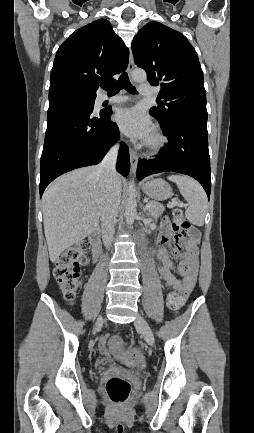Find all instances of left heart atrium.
Here are the masks:
<instances>
[{
    "label": "left heart atrium",
    "mask_w": 254,
    "mask_h": 433,
    "mask_svg": "<svg viewBox=\"0 0 254 433\" xmlns=\"http://www.w3.org/2000/svg\"><path fill=\"white\" fill-rule=\"evenodd\" d=\"M122 131L136 139H147L152 133V124L140 108L122 109L116 115Z\"/></svg>",
    "instance_id": "1"
}]
</instances>
